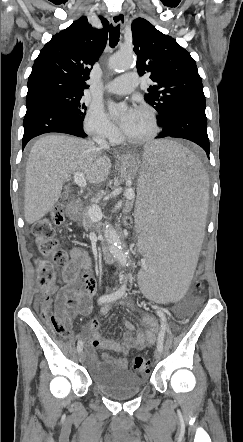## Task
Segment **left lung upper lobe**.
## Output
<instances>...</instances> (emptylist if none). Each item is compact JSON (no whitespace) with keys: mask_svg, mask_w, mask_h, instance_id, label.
Segmentation results:
<instances>
[{"mask_svg":"<svg viewBox=\"0 0 243 442\" xmlns=\"http://www.w3.org/2000/svg\"><path fill=\"white\" fill-rule=\"evenodd\" d=\"M131 28L138 73L140 76L149 73L154 82L145 99L159 113L160 124L180 100L204 96L202 79L190 53L175 39L143 18L135 19Z\"/></svg>","mask_w":243,"mask_h":442,"instance_id":"left-lung-upper-lobe-1","label":"left lung upper lobe"}]
</instances>
